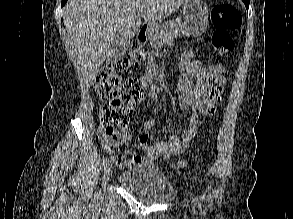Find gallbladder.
Instances as JSON below:
<instances>
[{
	"label": "gallbladder",
	"mask_w": 293,
	"mask_h": 219,
	"mask_svg": "<svg viewBox=\"0 0 293 219\" xmlns=\"http://www.w3.org/2000/svg\"><path fill=\"white\" fill-rule=\"evenodd\" d=\"M130 41L131 39L124 35L116 36L108 48L105 62L112 65L120 61L126 54Z\"/></svg>",
	"instance_id": "1"
}]
</instances>
